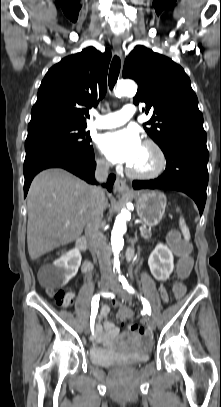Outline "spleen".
Here are the masks:
<instances>
[{
  "mask_svg": "<svg viewBox=\"0 0 221 407\" xmlns=\"http://www.w3.org/2000/svg\"><path fill=\"white\" fill-rule=\"evenodd\" d=\"M177 211H179V209H177ZM179 226H180V228H181V231H182V234H183V236H184V239H185V240H189V239H190V232H189L188 227H187L186 224H185V220H184L183 217H180Z\"/></svg>",
  "mask_w": 221,
  "mask_h": 407,
  "instance_id": "3e777b00",
  "label": "spleen"
}]
</instances>
